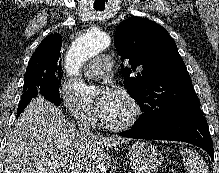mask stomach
Listing matches in <instances>:
<instances>
[{
    "label": "stomach",
    "instance_id": "0dacf381",
    "mask_svg": "<svg viewBox=\"0 0 219 173\" xmlns=\"http://www.w3.org/2000/svg\"><path fill=\"white\" fill-rule=\"evenodd\" d=\"M127 160L134 173H155L162 165L163 156L151 144L137 141L128 147Z\"/></svg>",
    "mask_w": 219,
    "mask_h": 173
}]
</instances>
